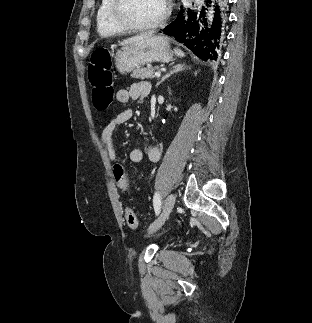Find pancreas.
Listing matches in <instances>:
<instances>
[{
	"label": "pancreas",
	"mask_w": 312,
	"mask_h": 323,
	"mask_svg": "<svg viewBox=\"0 0 312 323\" xmlns=\"http://www.w3.org/2000/svg\"><path fill=\"white\" fill-rule=\"evenodd\" d=\"M155 68H136L132 72V78H138V80H145V78H155Z\"/></svg>",
	"instance_id": "pancreas-1"
}]
</instances>
